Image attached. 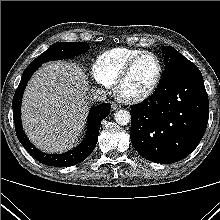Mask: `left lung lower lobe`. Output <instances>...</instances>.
Returning a JSON list of instances; mask_svg holds the SVG:
<instances>
[{
  "mask_svg": "<svg viewBox=\"0 0 220 220\" xmlns=\"http://www.w3.org/2000/svg\"><path fill=\"white\" fill-rule=\"evenodd\" d=\"M131 142L147 160L169 164L188 156L208 123L209 102L203 77L192 62L165 69L157 90L133 105Z\"/></svg>",
  "mask_w": 220,
  "mask_h": 220,
  "instance_id": "0a47b994",
  "label": "left lung lower lobe"
}]
</instances>
